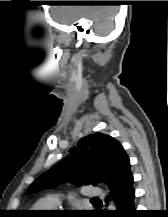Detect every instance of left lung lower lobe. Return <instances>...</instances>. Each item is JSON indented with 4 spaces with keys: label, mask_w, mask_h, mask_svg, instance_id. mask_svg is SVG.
<instances>
[{
    "label": "left lung lower lobe",
    "mask_w": 168,
    "mask_h": 217,
    "mask_svg": "<svg viewBox=\"0 0 168 217\" xmlns=\"http://www.w3.org/2000/svg\"><path fill=\"white\" fill-rule=\"evenodd\" d=\"M126 175L124 180L116 187L111 189V197L116 199L119 210L108 212L114 217H134V199L135 193L133 189V175L130 171V163L126 166Z\"/></svg>",
    "instance_id": "1"
}]
</instances>
